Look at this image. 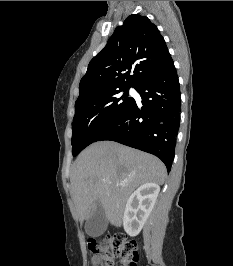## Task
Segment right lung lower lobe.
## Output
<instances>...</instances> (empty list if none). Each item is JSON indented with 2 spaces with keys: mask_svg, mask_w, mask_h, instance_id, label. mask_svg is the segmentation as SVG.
I'll use <instances>...</instances> for the list:
<instances>
[{
  "mask_svg": "<svg viewBox=\"0 0 233 266\" xmlns=\"http://www.w3.org/2000/svg\"><path fill=\"white\" fill-rule=\"evenodd\" d=\"M136 91L142 106L134 100L96 141L111 140L151 153L171 170L180 122V88L173 60L148 76Z\"/></svg>",
  "mask_w": 233,
  "mask_h": 266,
  "instance_id": "1",
  "label": "right lung lower lobe"
}]
</instances>
